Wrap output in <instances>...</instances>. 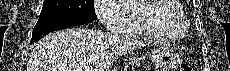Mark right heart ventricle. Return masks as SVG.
Segmentation results:
<instances>
[{
  "mask_svg": "<svg viewBox=\"0 0 230 71\" xmlns=\"http://www.w3.org/2000/svg\"><path fill=\"white\" fill-rule=\"evenodd\" d=\"M151 3L144 4L141 1L127 2L121 8L126 10L131 18V23L124 29L123 34L130 36H146L158 39H178L183 35L177 28H162L153 19L158 12H167L176 20H184L183 9L180 2L159 5L152 8Z\"/></svg>",
  "mask_w": 230,
  "mask_h": 71,
  "instance_id": "e07e8e85",
  "label": "right heart ventricle"
}]
</instances>
